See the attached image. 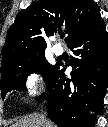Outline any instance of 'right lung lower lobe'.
Masks as SVG:
<instances>
[{"mask_svg": "<svg viewBox=\"0 0 108 127\" xmlns=\"http://www.w3.org/2000/svg\"><path fill=\"white\" fill-rule=\"evenodd\" d=\"M71 79L65 78L60 65L47 81V93L37 97L47 100L49 117L59 127H92L94 116L101 114L108 83V33L102 18L78 33L68 43Z\"/></svg>", "mask_w": 108, "mask_h": 127, "instance_id": "98d812e1", "label": "right lung lower lobe"}]
</instances>
